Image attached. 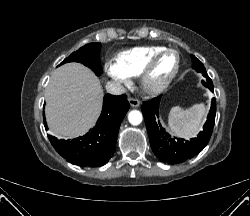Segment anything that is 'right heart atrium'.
Returning a JSON list of instances; mask_svg holds the SVG:
<instances>
[{
	"mask_svg": "<svg viewBox=\"0 0 250 216\" xmlns=\"http://www.w3.org/2000/svg\"><path fill=\"white\" fill-rule=\"evenodd\" d=\"M106 71L110 77L122 84L129 83V76L122 71L117 63L108 62L106 64Z\"/></svg>",
	"mask_w": 250,
	"mask_h": 216,
	"instance_id": "right-heart-atrium-1",
	"label": "right heart atrium"
}]
</instances>
